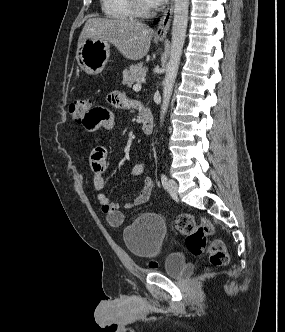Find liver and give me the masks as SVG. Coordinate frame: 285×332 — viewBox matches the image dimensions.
Masks as SVG:
<instances>
[{"label":"liver","mask_w":285,"mask_h":332,"mask_svg":"<svg viewBox=\"0 0 285 332\" xmlns=\"http://www.w3.org/2000/svg\"><path fill=\"white\" fill-rule=\"evenodd\" d=\"M153 30L133 20L90 18L79 36L78 47L87 37L113 44L127 59H142L149 51Z\"/></svg>","instance_id":"1"}]
</instances>
